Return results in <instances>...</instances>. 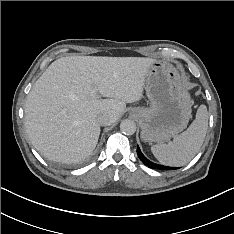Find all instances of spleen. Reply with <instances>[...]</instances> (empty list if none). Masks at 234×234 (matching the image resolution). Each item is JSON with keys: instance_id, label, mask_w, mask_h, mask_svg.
Masks as SVG:
<instances>
[{"instance_id": "1", "label": "spleen", "mask_w": 234, "mask_h": 234, "mask_svg": "<svg viewBox=\"0 0 234 234\" xmlns=\"http://www.w3.org/2000/svg\"><path fill=\"white\" fill-rule=\"evenodd\" d=\"M208 129V112L201 105L196 118L186 131L174 137L168 144H157L151 147L155 158L167 166H183L190 162L201 148Z\"/></svg>"}]
</instances>
